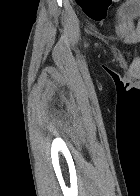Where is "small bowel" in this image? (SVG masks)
Masks as SVG:
<instances>
[{"mask_svg": "<svg viewBox=\"0 0 140 196\" xmlns=\"http://www.w3.org/2000/svg\"><path fill=\"white\" fill-rule=\"evenodd\" d=\"M112 1H113V2H118L119 0H110V2H112Z\"/></svg>", "mask_w": 140, "mask_h": 196, "instance_id": "1", "label": "small bowel"}]
</instances>
